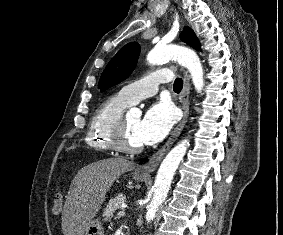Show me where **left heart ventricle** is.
<instances>
[{
    "label": "left heart ventricle",
    "instance_id": "b2bd125f",
    "mask_svg": "<svg viewBox=\"0 0 283 235\" xmlns=\"http://www.w3.org/2000/svg\"><path fill=\"white\" fill-rule=\"evenodd\" d=\"M139 122L140 119L138 117L125 118L127 141L133 146L141 144L136 132Z\"/></svg>",
    "mask_w": 283,
    "mask_h": 235
}]
</instances>
